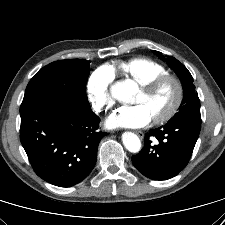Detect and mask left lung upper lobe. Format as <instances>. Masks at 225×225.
I'll return each mask as SVG.
<instances>
[{"label":"left lung upper lobe","instance_id":"obj_1","mask_svg":"<svg viewBox=\"0 0 225 225\" xmlns=\"http://www.w3.org/2000/svg\"><path fill=\"white\" fill-rule=\"evenodd\" d=\"M155 53L161 57V52L155 51ZM161 58L164 59L163 57ZM168 64L171 68L174 69V71L180 78L184 90V97L180 109L170 121L184 119L201 120L200 100L198 98L197 92L195 91V86L193 85L192 75L187 70V68L174 57H169Z\"/></svg>","mask_w":225,"mask_h":225}]
</instances>
